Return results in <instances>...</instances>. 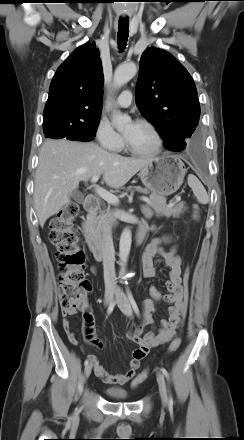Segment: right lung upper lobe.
Wrapping results in <instances>:
<instances>
[{
  "mask_svg": "<svg viewBox=\"0 0 244 440\" xmlns=\"http://www.w3.org/2000/svg\"><path fill=\"white\" fill-rule=\"evenodd\" d=\"M103 72L98 50L89 42L58 68L49 89L44 120L86 124L100 119Z\"/></svg>",
  "mask_w": 244,
  "mask_h": 440,
  "instance_id": "obj_1",
  "label": "right lung upper lobe"
}]
</instances>
